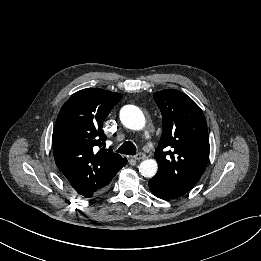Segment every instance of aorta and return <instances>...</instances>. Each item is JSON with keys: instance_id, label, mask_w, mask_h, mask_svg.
I'll return each instance as SVG.
<instances>
[{"instance_id": "obj_1", "label": "aorta", "mask_w": 261, "mask_h": 261, "mask_svg": "<svg viewBox=\"0 0 261 261\" xmlns=\"http://www.w3.org/2000/svg\"><path fill=\"white\" fill-rule=\"evenodd\" d=\"M120 120L125 127L132 130H141L146 123L143 112L134 105L122 107L120 110ZM157 170L158 164L154 159H146L139 165V172L147 178L155 176Z\"/></svg>"}]
</instances>
